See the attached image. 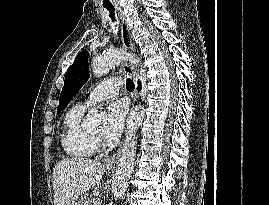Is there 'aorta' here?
I'll use <instances>...</instances> for the list:
<instances>
[{"instance_id": "aorta-1", "label": "aorta", "mask_w": 269, "mask_h": 205, "mask_svg": "<svg viewBox=\"0 0 269 205\" xmlns=\"http://www.w3.org/2000/svg\"><path fill=\"white\" fill-rule=\"evenodd\" d=\"M132 58L133 63H137L138 59L130 57L122 50H109L101 55L94 57L92 61V70L95 75H103L108 73L115 65L122 61ZM145 118V109L142 106H136L127 119V131L125 143L123 145L121 157L119 159L115 179L112 184L111 192L115 199L121 198L129 185V180L134 169L135 150L137 144L136 131ZM102 116L97 110L91 109L87 116L89 125L100 123Z\"/></svg>"}]
</instances>
